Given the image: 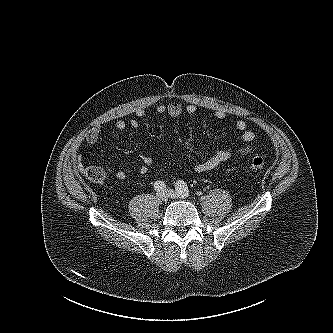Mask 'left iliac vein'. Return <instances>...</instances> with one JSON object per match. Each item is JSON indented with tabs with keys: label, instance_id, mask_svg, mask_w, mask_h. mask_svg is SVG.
<instances>
[{
	"label": "left iliac vein",
	"instance_id": "1",
	"mask_svg": "<svg viewBox=\"0 0 333 333\" xmlns=\"http://www.w3.org/2000/svg\"><path fill=\"white\" fill-rule=\"evenodd\" d=\"M165 192L168 194L169 198L176 199L180 197V195L172 189H166Z\"/></svg>",
	"mask_w": 333,
	"mask_h": 333
}]
</instances>
